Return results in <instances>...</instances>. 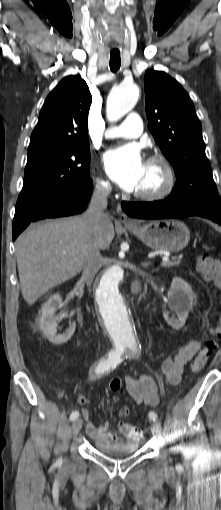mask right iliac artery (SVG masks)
Masks as SVG:
<instances>
[{"label": "right iliac artery", "mask_w": 221, "mask_h": 510, "mask_svg": "<svg viewBox=\"0 0 221 510\" xmlns=\"http://www.w3.org/2000/svg\"><path fill=\"white\" fill-rule=\"evenodd\" d=\"M122 361V352L119 350H111L108 356L101 359L95 368L97 374H102L110 369H114ZM79 417L78 411H73L70 415V420L73 421ZM58 463L62 462V459H58Z\"/></svg>", "instance_id": "obj_1"}]
</instances>
